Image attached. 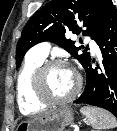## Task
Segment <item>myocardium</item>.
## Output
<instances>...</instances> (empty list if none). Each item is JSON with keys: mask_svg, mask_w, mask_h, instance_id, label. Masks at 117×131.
Wrapping results in <instances>:
<instances>
[{"mask_svg": "<svg viewBox=\"0 0 117 131\" xmlns=\"http://www.w3.org/2000/svg\"><path fill=\"white\" fill-rule=\"evenodd\" d=\"M68 67V64L62 60H49L42 63L36 70L33 78V92L35 97L46 105H62L73 101L80 93L82 88V78L76 73L77 83L75 89L66 97L55 98L47 90L46 75L49 70L55 67Z\"/></svg>", "mask_w": 117, "mask_h": 131, "instance_id": "f54148a6", "label": "myocardium"}]
</instances>
